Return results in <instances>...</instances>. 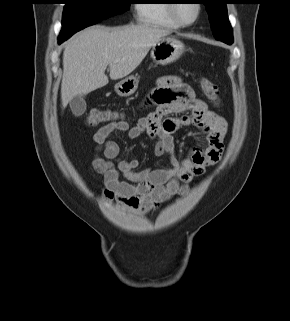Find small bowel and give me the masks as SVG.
Returning <instances> with one entry per match:
<instances>
[{"mask_svg": "<svg viewBox=\"0 0 290 321\" xmlns=\"http://www.w3.org/2000/svg\"><path fill=\"white\" fill-rule=\"evenodd\" d=\"M146 102L155 105V109L139 118L135 125L117 120L96 131V154L91 162L93 176L103 182L105 201L137 214H147L171 197L184 194L193 178L219 161L228 129L227 121L211 111L178 76L160 77ZM187 126L203 130L208 147L192 148L181 160L173 135ZM114 133H127L130 139L145 134L156 140L154 155L166 156L171 168L139 169L137 159L120 158L119 144L109 139ZM121 174L128 181H121Z\"/></svg>", "mask_w": 290, "mask_h": 321, "instance_id": "c3829d8e", "label": "small bowel"}]
</instances>
